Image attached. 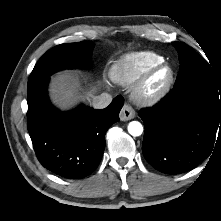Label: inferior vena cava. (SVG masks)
Wrapping results in <instances>:
<instances>
[{
  "label": "inferior vena cava",
  "mask_w": 221,
  "mask_h": 221,
  "mask_svg": "<svg viewBox=\"0 0 221 221\" xmlns=\"http://www.w3.org/2000/svg\"><path fill=\"white\" fill-rule=\"evenodd\" d=\"M112 100H113V98H112V96L110 94L102 93V94H100L98 96H95L93 98L92 106L95 109H104V108H106L107 106L110 105Z\"/></svg>",
  "instance_id": "obj_1"
}]
</instances>
